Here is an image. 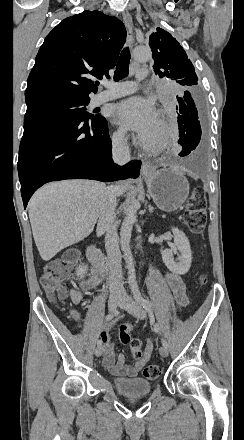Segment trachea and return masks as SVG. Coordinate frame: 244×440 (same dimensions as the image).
<instances>
[{"instance_id":"1","label":"trachea","mask_w":244,"mask_h":440,"mask_svg":"<svg viewBox=\"0 0 244 440\" xmlns=\"http://www.w3.org/2000/svg\"><path fill=\"white\" fill-rule=\"evenodd\" d=\"M130 51L129 48L126 47L124 48V50H122L117 66H116V70H115V74H114V80L115 82H118L119 80H121L124 77H127L128 72H129V64H130ZM99 83V82H97Z\"/></svg>"}]
</instances>
